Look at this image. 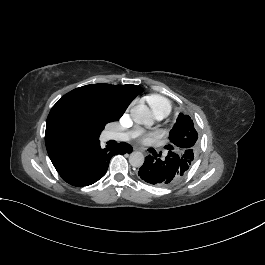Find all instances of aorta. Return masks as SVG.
<instances>
[{"label":"aorta","instance_id":"aorta-1","mask_svg":"<svg viewBox=\"0 0 265 265\" xmlns=\"http://www.w3.org/2000/svg\"><path fill=\"white\" fill-rule=\"evenodd\" d=\"M131 117L134 122L150 126L153 124V117L150 109L144 105L139 104L131 109ZM129 163L133 167H141L144 164V155L139 151H134L129 156Z\"/></svg>","mask_w":265,"mask_h":265}]
</instances>
